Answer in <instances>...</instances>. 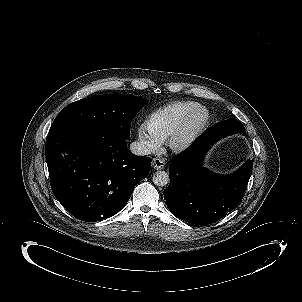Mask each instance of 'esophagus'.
<instances>
[{
  "label": "esophagus",
  "instance_id": "1",
  "mask_svg": "<svg viewBox=\"0 0 302 302\" xmlns=\"http://www.w3.org/2000/svg\"><path fill=\"white\" fill-rule=\"evenodd\" d=\"M165 166V161L164 159L160 158V157H155L153 158L152 160V167L155 169V170H161L163 169Z\"/></svg>",
  "mask_w": 302,
  "mask_h": 302
}]
</instances>
